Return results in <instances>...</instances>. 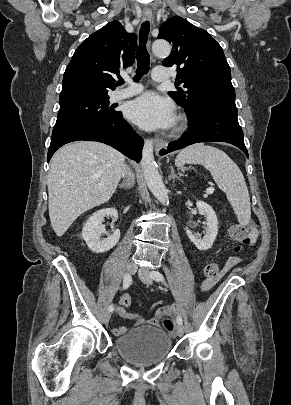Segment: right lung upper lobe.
Returning a JSON list of instances; mask_svg holds the SVG:
<instances>
[{
    "instance_id": "right-lung-upper-lobe-1",
    "label": "right lung upper lobe",
    "mask_w": 291,
    "mask_h": 405,
    "mask_svg": "<svg viewBox=\"0 0 291 405\" xmlns=\"http://www.w3.org/2000/svg\"><path fill=\"white\" fill-rule=\"evenodd\" d=\"M136 45V34L127 33L118 21L91 34L66 67L59 101L108 97L119 68L133 64Z\"/></svg>"
}]
</instances>
